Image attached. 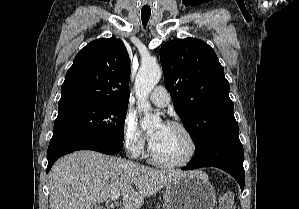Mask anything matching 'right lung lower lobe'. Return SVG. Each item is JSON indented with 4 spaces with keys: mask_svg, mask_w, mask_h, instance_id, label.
<instances>
[{
    "mask_svg": "<svg viewBox=\"0 0 299 209\" xmlns=\"http://www.w3.org/2000/svg\"><path fill=\"white\" fill-rule=\"evenodd\" d=\"M123 143L100 136H90L69 129L54 130L48 147V173L61 156L77 150H94L113 155L121 150Z\"/></svg>",
    "mask_w": 299,
    "mask_h": 209,
    "instance_id": "obj_1",
    "label": "right lung lower lobe"
}]
</instances>
